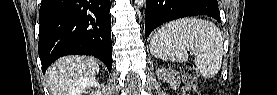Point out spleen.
I'll use <instances>...</instances> for the list:
<instances>
[{
	"label": "spleen",
	"instance_id": "1",
	"mask_svg": "<svg viewBox=\"0 0 277 95\" xmlns=\"http://www.w3.org/2000/svg\"><path fill=\"white\" fill-rule=\"evenodd\" d=\"M205 78L214 77L220 70L223 58L221 31L210 21L183 18L164 24L151 38L153 56L170 62H185L188 50Z\"/></svg>",
	"mask_w": 277,
	"mask_h": 95
}]
</instances>
